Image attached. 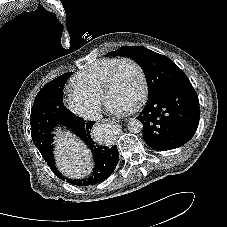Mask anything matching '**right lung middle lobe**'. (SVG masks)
Here are the masks:
<instances>
[{"label": "right lung middle lobe", "mask_w": 227, "mask_h": 227, "mask_svg": "<svg viewBox=\"0 0 227 227\" xmlns=\"http://www.w3.org/2000/svg\"><path fill=\"white\" fill-rule=\"evenodd\" d=\"M71 74L66 73L47 83L37 94L31 109L32 140L42 156L51 150L55 127L73 117L64 106L62 95Z\"/></svg>", "instance_id": "obj_1"}]
</instances>
